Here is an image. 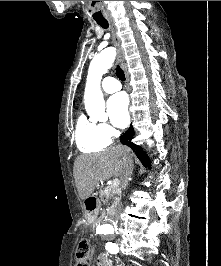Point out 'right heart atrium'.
<instances>
[{"instance_id": "1", "label": "right heart atrium", "mask_w": 221, "mask_h": 266, "mask_svg": "<svg viewBox=\"0 0 221 266\" xmlns=\"http://www.w3.org/2000/svg\"><path fill=\"white\" fill-rule=\"evenodd\" d=\"M100 128L102 134L109 140L115 135L114 128L107 123L100 124Z\"/></svg>"}]
</instances>
